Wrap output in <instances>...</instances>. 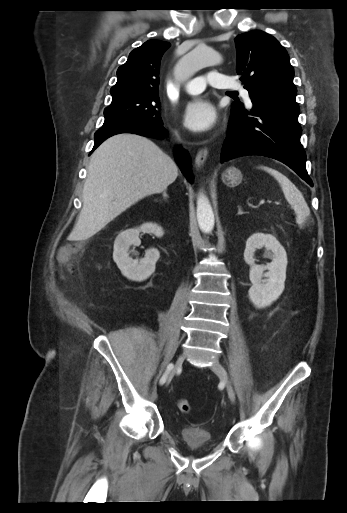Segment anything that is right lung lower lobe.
I'll return each mask as SVG.
<instances>
[{
	"label": "right lung lower lobe",
	"mask_w": 347,
	"mask_h": 513,
	"mask_svg": "<svg viewBox=\"0 0 347 513\" xmlns=\"http://www.w3.org/2000/svg\"><path fill=\"white\" fill-rule=\"evenodd\" d=\"M119 133H134L147 137L162 138L167 134L163 123L152 124L136 119H127L104 124L102 128L95 133V143L93 150L96 149L105 139ZM176 161L183 174L189 182L193 181V175L190 166L188 153L181 147H176Z\"/></svg>",
	"instance_id": "obj_1"
}]
</instances>
